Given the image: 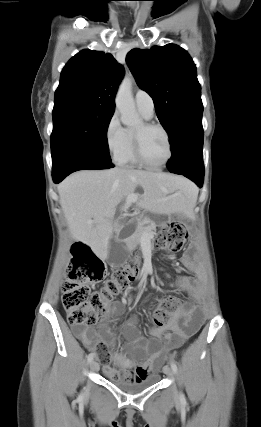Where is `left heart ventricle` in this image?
<instances>
[{"label": "left heart ventricle", "mask_w": 261, "mask_h": 427, "mask_svg": "<svg viewBox=\"0 0 261 427\" xmlns=\"http://www.w3.org/2000/svg\"><path fill=\"white\" fill-rule=\"evenodd\" d=\"M134 132L140 135L142 152L145 159L151 164H160L168 156V144L165 135L158 129H145L143 124Z\"/></svg>", "instance_id": "1"}]
</instances>
